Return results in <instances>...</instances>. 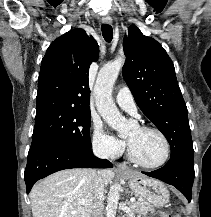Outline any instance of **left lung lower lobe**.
<instances>
[{"label": "left lung lower lobe", "mask_w": 211, "mask_h": 217, "mask_svg": "<svg viewBox=\"0 0 211 217\" xmlns=\"http://www.w3.org/2000/svg\"><path fill=\"white\" fill-rule=\"evenodd\" d=\"M142 173L175 186L183 193L188 202L191 201L194 181V158L172 157L164 167L152 172Z\"/></svg>", "instance_id": "0a47b994"}]
</instances>
